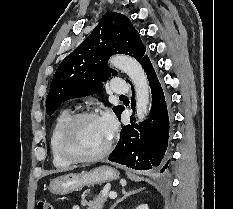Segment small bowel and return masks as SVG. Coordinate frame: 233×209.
I'll return each mask as SVG.
<instances>
[{
    "label": "small bowel",
    "mask_w": 233,
    "mask_h": 209,
    "mask_svg": "<svg viewBox=\"0 0 233 209\" xmlns=\"http://www.w3.org/2000/svg\"><path fill=\"white\" fill-rule=\"evenodd\" d=\"M71 209H83V208L80 206H73Z\"/></svg>",
    "instance_id": "obj_1"
}]
</instances>
